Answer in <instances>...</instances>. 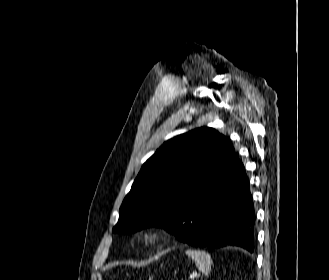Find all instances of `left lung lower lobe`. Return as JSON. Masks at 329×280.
I'll list each match as a JSON object with an SVG mask.
<instances>
[{
  "label": "left lung lower lobe",
  "instance_id": "1",
  "mask_svg": "<svg viewBox=\"0 0 329 280\" xmlns=\"http://www.w3.org/2000/svg\"><path fill=\"white\" fill-rule=\"evenodd\" d=\"M220 187L204 197L192 216L171 233L192 246H238L253 252L254 207L246 171L237 156L224 173Z\"/></svg>",
  "mask_w": 329,
  "mask_h": 280
}]
</instances>
